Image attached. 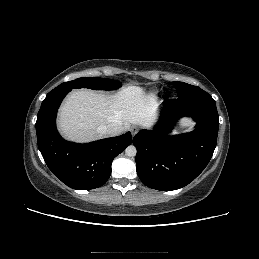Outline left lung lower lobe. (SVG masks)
<instances>
[{"mask_svg": "<svg viewBox=\"0 0 259 259\" xmlns=\"http://www.w3.org/2000/svg\"><path fill=\"white\" fill-rule=\"evenodd\" d=\"M190 116L195 129L169 135L175 121ZM219 116L213 98L167 99L154 130H140L133 139L136 169L146 186L176 190L193 181L207 166L216 147Z\"/></svg>", "mask_w": 259, "mask_h": 259, "instance_id": "1", "label": "left lung lower lobe"}]
</instances>
